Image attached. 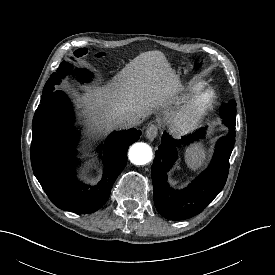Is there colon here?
<instances>
[{"label":"colon","instance_id":"obj_1","mask_svg":"<svg viewBox=\"0 0 275 275\" xmlns=\"http://www.w3.org/2000/svg\"><path fill=\"white\" fill-rule=\"evenodd\" d=\"M75 55H76L77 57H83V56L86 55V52H85V53H76ZM95 57L101 58V57H103V53L97 52V53L95 54Z\"/></svg>","mask_w":275,"mask_h":275}]
</instances>
